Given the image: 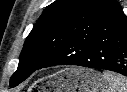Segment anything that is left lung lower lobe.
Instances as JSON below:
<instances>
[{"instance_id":"1","label":"left lung lower lobe","mask_w":127,"mask_h":92,"mask_svg":"<svg viewBox=\"0 0 127 92\" xmlns=\"http://www.w3.org/2000/svg\"><path fill=\"white\" fill-rule=\"evenodd\" d=\"M56 65L106 69L127 76V17L122 9L75 35L41 68Z\"/></svg>"}]
</instances>
